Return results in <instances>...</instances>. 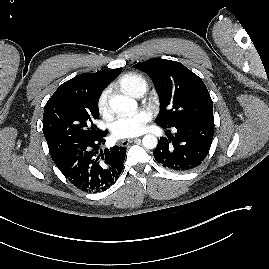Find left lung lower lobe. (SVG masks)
I'll list each match as a JSON object with an SVG mask.
<instances>
[{
  "label": "left lung lower lobe",
  "instance_id": "0a47b994",
  "mask_svg": "<svg viewBox=\"0 0 269 269\" xmlns=\"http://www.w3.org/2000/svg\"><path fill=\"white\" fill-rule=\"evenodd\" d=\"M174 128V135L168 130L167 138H160L153 156L167 169L177 172L191 171L203 162L210 150L214 122L188 121L177 124Z\"/></svg>",
  "mask_w": 269,
  "mask_h": 269
}]
</instances>
